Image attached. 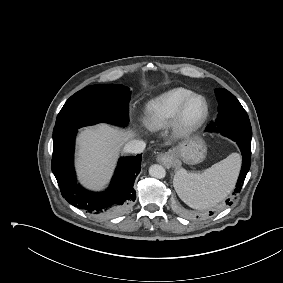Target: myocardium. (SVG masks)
Instances as JSON below:
<instances>
[{
    "mask_svg": "<svg viewBox=\"0 0 283 283\" xmlns=\"http://www.w3.org/2000/svg\"><path fill=\"white\" fill-rule=\"evenodd\" d=\"M193 99H199L202 104V110L199 116L193 120L186 117V109ZM209 114V104L207 99L199 94L191 92L180 103L176 114L172 120V133L175 139H184L197 131L205 122Z\"/></svg>",
    "mask_w": 283,
    "mask_h": 283,
    "instance_id": "myocardium-1",
    "label": "myocardium"
}]
</instances>
